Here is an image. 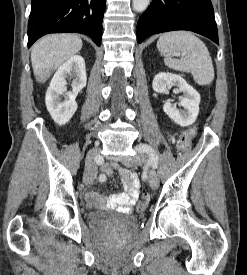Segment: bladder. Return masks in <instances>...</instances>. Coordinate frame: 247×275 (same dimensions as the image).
I'll list each match as a JSON object with an SVG mask.
<instances>
[{"label":"bladder","mask_w":247,"mask_h":275,"mask_svg":"<svg viewBox=\"0 0 247 275\" xmlns=\"http://www.w3.org/2000/svg\"><path fill=\"white\" fill-rule=\"evenodd\" d=\"M89 221L94 225L131 227L136 224V217L106 210H92L89 212Z\"/></svg>","instance_id":"bladder-1"}]
</instances>
